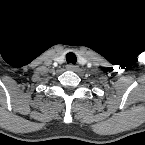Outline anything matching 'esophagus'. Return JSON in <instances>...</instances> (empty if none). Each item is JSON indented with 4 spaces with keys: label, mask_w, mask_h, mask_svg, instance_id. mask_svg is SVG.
Segmentation results:
<instances>
[{
    "label": "esophagus",
    "mask_w": 145,
    "mask_h": 145,
    "mask_svg": "<svg viewBox=\"0 0 145 145\" xmlns=\"http://www.w3.org/2000/svg\"><path fill=\"white\" fill-rule=\"evenodd\" d=\"M66 68L70 71H75V70H77L78 67L76 65H73V64H68L66 66Z\"/></svg>",
    "instance_id": "esophagus-1"
}]
</instances>
